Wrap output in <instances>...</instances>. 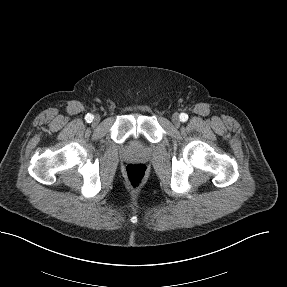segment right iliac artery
<instances>
[{
	"instance_id": "1",
	"label": "right iliac artery",
	"mask_w": 287,
	"mask_h": 287,
	"mask_svg": "<svg viewBox=\"0 0 287 287\" xmlns=\"http://www.w3.org/2000/svg\"><path fill=\"white\" fill-rule=\"evenodd\" d=\"M93 118H94V116H93L92 114H87V115L85 116V120H86L88 123L92 122V121H93Z\"/></svg>"
}]
</instances>
